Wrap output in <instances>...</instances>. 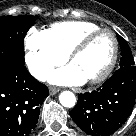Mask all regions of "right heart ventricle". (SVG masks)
Listing matches in <instances>:
<instances>
[{
    "mask_svg": "<svg viewBox=\"0 0 136 136\" xmlns=\"http://www.w3.org/2000/svg\"><path fill=\"white\" fill-rule=\"evenodd\" d=\"M100 27L86 21H64L53 24L45 33L52 44L65 56L81 38Z\"/></svg>",
    "mask_w": 136,
    "mask_h": 136,
    "instance_id": "1",
    "label": "right heart ventricle"
}]
</instances>
